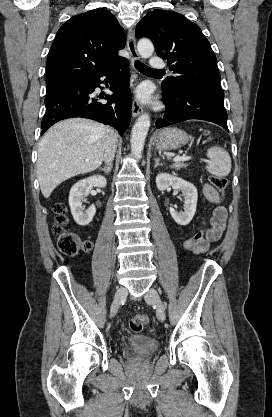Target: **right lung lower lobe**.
Here are the masks:
<instances>
[{
    "instance_id": "obj_1",
    "label": "right lung lower lobe",
    "mask_w": 272,
    "mask_h": 417,
    "mask_svg": "<svg viewBox=\"0 0 272 417\" xmlns=\"http://www.w3.org/2000/svg\"><path fill=\"white\" fill-rule=\"evenodd\" d=\"M102 77L105 78L103 81L100 80ZM128 82L129 65L122 58L100 73L50 88L45 98L42 134L62 119L83 117L111 125L122 136L131 120L132 98ZM101 83H109L113 94L96 96L95 88ZM101 99L108 102L103 103Z\"/></svg>"
}]
</instances>
